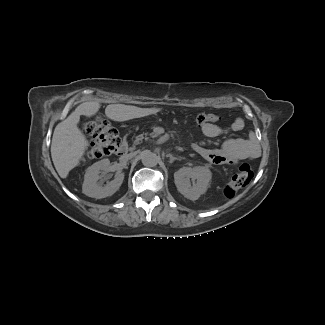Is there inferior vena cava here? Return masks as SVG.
Returning a JSON list of instances; mask_svg holds the SVG:
<instances>
[{
	"label": "inferior vena cava",
	"mask_w": 325,
	"mask_h": 325,
	"mask_svg": "<svg viewBox=\"0 0 325 325\" xmlns=\"http://www.w3.org/2000/svg\"><path fill=\"white\" fill-rule=\"evenodd\" d=\"M132 157H133V154H128V155L123 156L122 158H123L124 160H129V159H131Z\"/></svg>",
	"instance_id": "602c4592"
}]
</instances>
